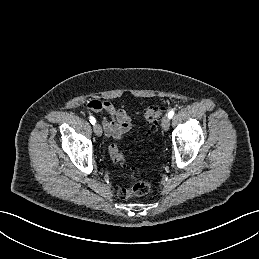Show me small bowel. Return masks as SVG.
<instances>
[{
  "label": "small bowel",
  "mask_w": 259,
  "mask_h": 259,
  "mask_svg": "<svg viewBox=\"0 0 259 259\" xmlns=\"http://www.w3.org/2000/svg\"><path fill=\"white\" fill-rule=\"evenodd\" d=\"M86 106L95 112L105 115L102 124L107 136L121 139L132 127V120L127 112L124 109L115 108L109 101L91 99L87 101Z\"/></svg>",
  "instance_id": "small-bowel-1"
}]
</instances>
